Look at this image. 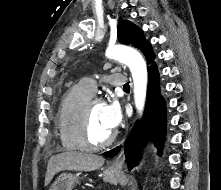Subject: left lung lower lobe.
Here are the masks:
<instances>
[{
    "label": "left lung lower lobe",
    "instance_id": "1",
    "mask_svg": "<svg viewBox=\"0 0 221 190\" xmlns=\"http://www.w3.org/2000/svg\"><path fill=\"white\" fill-rule=\"evenodd\" d=\"M147 106L142 122H136L124 146L129 170L140 160V147L144 140L153 139L161 155L166 135V103L160 92V75L155 62L148 66ZM120 146L104 153L107 158L117 155Z\"/></svg>",
    "mask_w": 221,
    "mask_h": 190
}]
</instances>
